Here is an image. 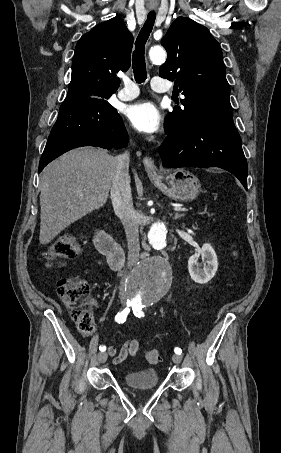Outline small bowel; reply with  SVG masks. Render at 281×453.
Listing matches in <instances>:
<instances>
[{
    "label": "small bowel",
    "mask_w": 281,
    "mask_h": 453,
    "mask_svg": "<svg viewBox=\"0 0 281 453\" xmlns=\"http://www.w3.org/2000/svg\"><path fill=\"white\" fill-rule=\"evenodd\" d=\"M95 308L98 306L96 303L93 305ZM138 350V341L135 338H130L127 343H125L119 352L116 351L114 346H109L107 351L113 357V362L115 364H120L126 360L128 356H135Z\"/></svg>",
    "instance_id": "obj_1"
}]
</instances>
